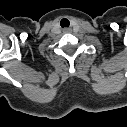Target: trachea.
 Here are the masks:
<instances>
[{
    "label": "trachea",
    "instance_id": "3493384b",
    "mask_svg": "<svg viewBox=\"0 0 127 127\" xmlns=\"http://www.w3.org/2000/svg\"><path fill=\"white\" fill-rule=\"evenodd\" d=\"M60 25H61L62 28H64V27H69L70 21H69L68 19H66V18H63V19L60 21Z\"/></svg>",
    "mask_w": 127,
    "mask_h": 127
}]
</instances>
